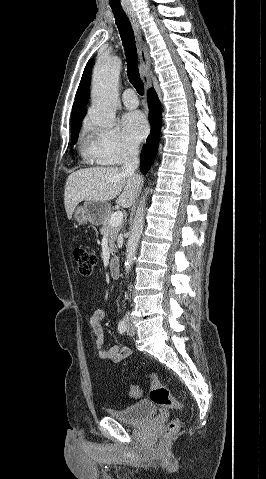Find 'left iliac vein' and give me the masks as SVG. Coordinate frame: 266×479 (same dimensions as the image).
<instances>
[{
	"label": "left iliac vein",
	"instance_id": "obj_1",
	"mask_svg": "<svg viewBox=\"0 0 266 479\" xmlns=\"http://www.w3.org/2000/svg\"><path fill=\"white\" fill-rule=\"evenodd\" d=\"M135 333H136V329H135L134 325L130 322V323L128 324L127 334H128L129 336H134Z\"/></svg>",
	"mask_w": 266,
	"mask_h": 479
}]
</instances>
